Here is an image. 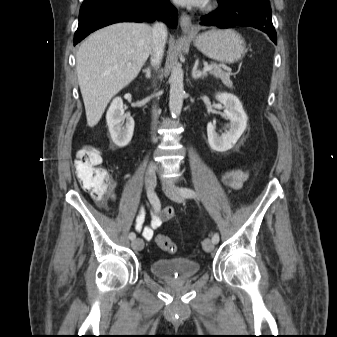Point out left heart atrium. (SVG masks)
<instances>
[{
    "label": "left heart atrium",
    "mask_w": 337,
    "mask_h": 337,
    "mask_svg": "<svg viewBox=\"0 0 337 337\" xmlns=\"http://www.w3.org/2000/svg\"><path fill=\"white\" fill-rule=\"evenodd\" d=\"M175 2L185 6H202L208 0H174Z\"/></svg>",
    "instance_id": "left-heart-atrium-1"
}]
</instances>
